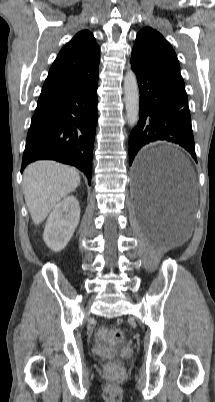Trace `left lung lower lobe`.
<instances>
[{
  "label": "left lung lower lobe",
  "instance_id": "left-lung-lower-lobe-1",
  "mask_svg": "<svg viewBox=\"0 0 215 402\" xmlns=\"http://www.w3.org/2000/svg\"><path fill=\"white\" fill-rule=\"evenodd\" d=\"M131 67L139 86L140 117L129 138L130 165L143 146L156 141L178 144L197 161L185 88L147 68Z\"/></svg>",
  "mask_w": 215,
  "mask_h": 402
}]
</instances>
